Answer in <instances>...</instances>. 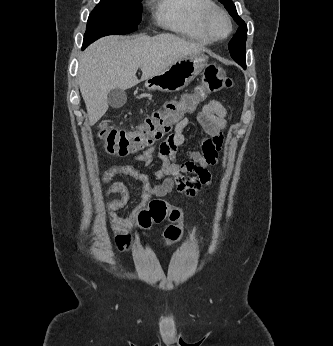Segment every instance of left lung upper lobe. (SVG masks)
Masks as SVG:
<instances>
[{
  "label": "left lung upper lobe",
  "mask_w": 333,
  "mask_h": 346,
  "mask_svg": "<svg viewBox=\"0 0 333 346\" xmlns=\"http://www.w3.org/2000/svg\"><path fill=\"white\" fill-rule=\"evenodd\" d=\"M221 2L229 14L233 17L235 22L239 25V28L234 35V37L229 42V51L232 56V58L240 64L242 67H246L245 63V41L247 37V25L246 23L238 16L236 7L232 0H218Z\"/></svg>",
  "instance_id": "left-lung-upper-lobe-1"
}]
</instances>
